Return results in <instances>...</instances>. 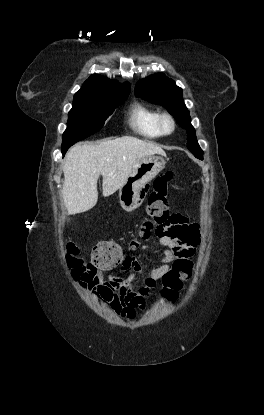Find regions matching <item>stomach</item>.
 <instances>
[{
  "mask_svg": "<svg viewBox=\"0 0 264 415\" xmlns=\"http://www.w3.org/2000/svg\"><path fill=\"white\" fill-rule=\"evenodd\" d=\"M161 156H148L140 159L134 166L126 182L119 189L121 207L131 212L142 204L141 191L165 167Z\"/></svg>",
  "mask_w": 264,
  "mask_h": 415,
  "instance_id": "1",
  "label": "stomach"
}]
</instances>
